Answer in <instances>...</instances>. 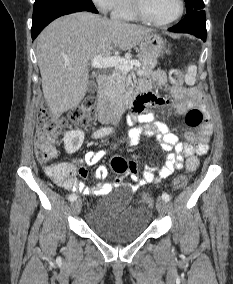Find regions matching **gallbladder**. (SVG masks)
Masks as SVG:
<instances>
[{
    "label": "gallbladder",
    "instance_id": "gallbladder-1",
    "mask_svg": "<svg viewBox=\"0 0 233 284\" xmlns=\"http://www.w3.org/2000/svg\"><path fill=\"white\" fill-rule=\"evenodd\" d=\"M97 90V83L95 77H91V79L88 82V89L87 91L89 93H94Z\"/></svg>",
    "mask_w": 233,
    "mask_h": 284
}]
</instances>
